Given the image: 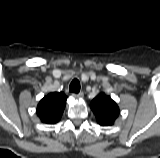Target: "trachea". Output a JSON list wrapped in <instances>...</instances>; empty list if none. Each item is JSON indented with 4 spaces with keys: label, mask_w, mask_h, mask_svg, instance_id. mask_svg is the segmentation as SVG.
<instances>
[{
    "label": "trachea",
    "mask_w": 160,
    "mask_h": 158,
    "mask_svg": "<svg viewBox=\"0 0 160 158\" xmlns=\"http://www.w3.org/2000/svg\"><path fill=\"white\" fill-rule=\"evenodd\" d=\"M69 91L72 93H79L80 91V82L78 79H74L69 86Z\"/></svg>",
    "instance_id": "trachea-1"
}]
</instances>
